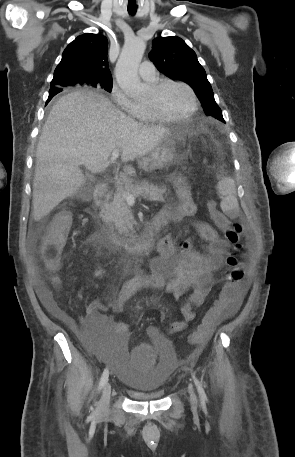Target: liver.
I'll use <instances>...</instances> for the list:
<instances>
[{
	"label": "liver",
	"mask_w": 295,
	"mask_h": 457,
	"mask_svg": "<svg viewBox=\"0 0 295 457\" xmlns=\"http://www.w3.org/2000/svg\"><path fill=\"white\" fill-rule=\"evenodd\" d=\"M171 133L167 127L135 121L93 91L61 97L52 107L37 145L34 220L40 221L85 184L81 165L100 173L109 166L114 150L119 149L122 162L127 163L149 154ZM124 172L135 175L131 165H125Z\"/></svg>",
	"instance_id": "liver-1"
}]
</instances>
